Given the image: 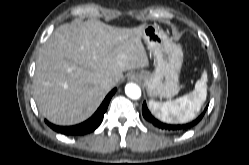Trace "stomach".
Wrapping results in <instances>:
<instances>
[{
  "instance_id": "obj_1",
  "label": "stomach",
  "mask_w": 249,
  "mask_h": 165,
  "mask_svg": "<svg viewBox=\"0 0 249 165\" xmlns=\"http://www.w3.org/2000/svg\"><path fill=\"white\" fill-rule=\"evenodd\" d=\"M142 38L154 56L155 70L153 73L140 71L133 75L143 83L151 98L173 97L179 90V75L183 63L181 47L156 25H145Z\"/></svg>"
}]
</instances>
